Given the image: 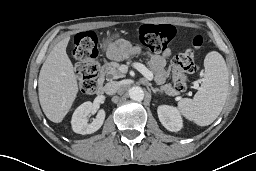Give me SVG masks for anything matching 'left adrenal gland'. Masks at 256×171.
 I'll use <instances>...</instances> for the list:
<instances>
[{"label": "left adrenal gland", "mask_w": 256, "mask_h": 171, "mask_svg": "<svg viewBox=\"0 0 256 171\" xmlns=\"http://www.w3.org/2000/svg\"><path fill=\"white\" fill-rule=\"evenodd\" d=\"M151 90L153 91V93L159 92L162 94V90L158 89V88H154L151 86Z\"/></svg>", "instance_id": "1"}]
</instances>
